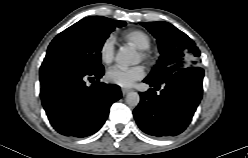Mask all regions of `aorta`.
Segmentation results:
<instances>
[{
    "label": "aorta",
    "mask_w": 248,
    "mask_h": 158,
    "mask_svg": "<svg viewBox=\"0 0 248 158\" xmlns=\"http://www.w3.org/2000/svg\"><path fill=\"white\" fill-rule=\"evenodd\" d=\"M116 61L121 67H127L130 65H135L138 63V56L134 49L131 47L123 46L120 47L117 55ZM140 102V96L137 92H129L126 95V103L129 106L135 107Z\"/></svg>",
    "instance_id": "762f6f07"
}]
</instances>
